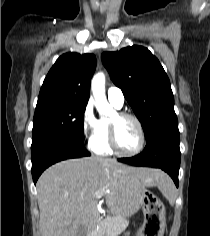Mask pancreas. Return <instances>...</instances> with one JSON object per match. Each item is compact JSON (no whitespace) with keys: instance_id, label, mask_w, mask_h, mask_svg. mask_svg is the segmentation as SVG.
<instances>
[{"instance_id":"cf45deb5","label":"pancreas","mask_w":210,"mask_h":236,"mask_svg":"<svg viewBox=\"0 0 210 236\" xmlns=\"http://www.w3.org/2000/svg\"><path fill=\"white\" fill-rule=\"evenodd\" d=\"M128 224L127 219L121 214L107 216L97 228L90 231L89 236H104L106 232L109 233L108 236H116V234L124 231Z\"/></svg>"}]
</instances>
